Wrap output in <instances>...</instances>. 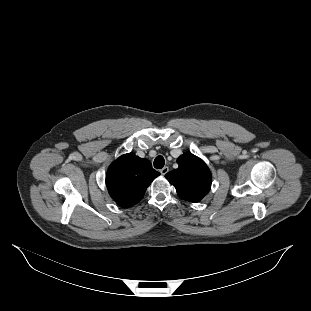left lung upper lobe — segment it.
Here are the masks:
<instances>
[{"label": "left lung upper lobe", "instance_id": "5c2ea615", "mask_svg": "<svg viewBox=\"0 0 311 311\" xmlns=\"http://www.w3.org/2000/svg\"><path fill=\"white\" fill-rule=\"evenodd\" d=\"M179 167L165 177L173 184L180 198L199 202L210 190L212 176L204 161L191 153L177 159Z\"/></svg>", "mask_w": 311, "mask_h": 311}]
</instances>
